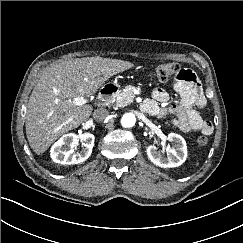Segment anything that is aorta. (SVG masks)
Instances as JSON below:
<instances>
[{"mask_svg": "<svg viewBox=\"0 0 243 243\" xmlns=\"http://www.w3.org/2000/svg\"><path fill=\"white\" fill-rule=\"evenodd\" d=\"M136 123V117L133 113H125L121 118V125L125 128L133 127Z\"/></svg>", "mask_w": 243, "mask_h": 243, "instance_id": "762f6f07", "label": "aorta"}]
</instances>
